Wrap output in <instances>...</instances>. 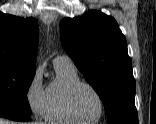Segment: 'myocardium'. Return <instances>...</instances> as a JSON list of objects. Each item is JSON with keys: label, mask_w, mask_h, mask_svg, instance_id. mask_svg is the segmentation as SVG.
I'll return each mask as SVG.
<instances>
[{"label": "myocardium", "mask_w": 156, "mask_h": 124, "mask_svg": "<svg viewBox=\"0 0 156 124\" xmlns=\"http://www.w3.org/2000/svg\"><path fill=\"white\" fill-rule=\"evenodd\" d=\"M81 88H88V89H90L92 92H94L97 95V97L100 100L101 111H100V114L95 119L87 120V119L83 118L81 116V114L78 112L77 108H76V105H75V97H76L78 91ZM67 104H68V108H69L71 114L77 120H79L82 123H95V122H98L103 117V115L105 113V110H106L105 99H104L103 95L100 93V91L96 87H94L93 85H91L90 83L84 82V81H79V82L73 84L69 88V90L67 92Z\"/></svg>", "instance_id": "myocardium-1"}]
</instances>
